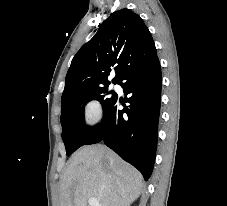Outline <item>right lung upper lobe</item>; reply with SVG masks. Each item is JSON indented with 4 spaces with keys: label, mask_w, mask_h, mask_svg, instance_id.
Returning a JSON list of instances; mask_svg holds the SVG:
<instances>
[{
    "label": "right lung upper lobe",
    "mask_w": 227,
    "mask_h": 206,
    "mask_svg": "<svg viewBox=\"0 0 227 206\" xmlns=\"http://www.w3.org/2000/svg\"><path fill=\"white\" fill-rule=\"evenodd\" d=\"M156 56L151 33L140 16L129 9L115 11L74 56L62 100L108 85L113 66L116 75L112 83L119 84L132 68L147 64Z\"/></svg>",
    "instance_id": "right-lung-upper-lobe-1"
}]
</instances>
